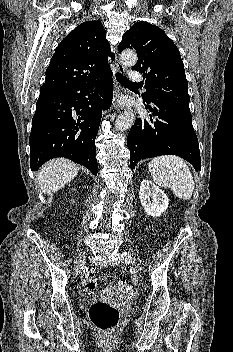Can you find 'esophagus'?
I'll return each mask as SVG.
<instances>
[{
  "mask_svg": "<svg viewBox=\"0 0 233 352\" xmlns=\"http://www.w3.org/2000/svg\"><path fill=\"white\" fill-rule=\"evenodd\" d=\"M116 68L120 73H125V71H126V68L119 61L116 62ZM130 110L131 109L128 107H124V106L118 107L119 113H123V112L130 111Z\"/></svg>",
  "mask_w": 233,
  "mask_h": 352,
  "instance_id": "obj_1",
  "label": "esophagus"
}]
</instances>
